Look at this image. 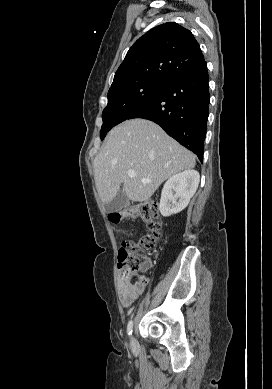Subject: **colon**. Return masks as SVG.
I'll return each instance as SVG.
<instances>
[{"instance_id": "5ec220e1", "label": "colon", "mask_w": 272, "mask_h": 389, "mask_svg": "<svg viewBox=\"0 0 272 389\" xmlns=\"http://www.w3.org/2000/svg\"><path fill=\"white\" fill-rule=\"evenodd\" d=\"M127 216L143 220L148 231L136 241L123 243L118 254V266L124 279L136 278L138 283L145 284L146 278L142 274L145 254L155 248L161 235L162 223L158 205L154 202L137 203L126 211L114 212L109 217L111 222L118 224Z\"/></svg>"}]
</instances>
